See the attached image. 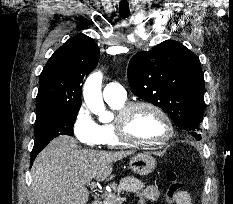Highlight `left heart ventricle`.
Segmentation results:
<instances>
[{
    "label": "left heart ventricle",
    "instance_id": "1",
    "mask_svg": "<svg viewBox=\"0 0 233 204\" xmlns=\"http://www.w3.org/2000/svg\"><path fill=\"white\" fill-rule=\"evenodd\" d=\"M128 131L136 139L155 141L167 134V127L163 119L154 111L140 108L133 113Z\"/></svg>",
    "mask_w": 233,
    "mask_h": 204
}]
</instances>
